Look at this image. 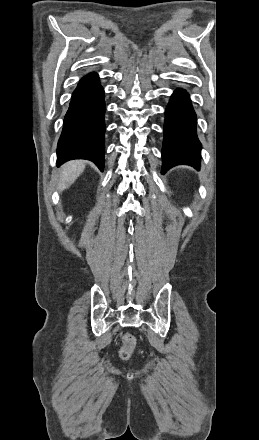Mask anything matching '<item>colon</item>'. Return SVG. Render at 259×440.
Here are the masks:
<instances>
[{"instance_id": "5ec220e1", "label": "colon", "mask_w": 259, "mask_h": 440, "mask_svg": "<svg viewBox=\"0 0 259 440\" xmlns=\"http://www.w3.org/2000/svg\"><path fill=\"white\" fill-rule=\"evenodd\" d=\"M136 345L135 337L131 334H125L122 337L121 347L119 349V357L123 361L131 358Z\"/></svg>"}]
</instances>
